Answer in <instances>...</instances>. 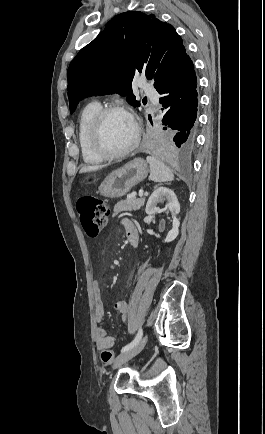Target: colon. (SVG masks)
Segmentation results:
<instances>
[{"instance_id": "5ec220e1", "label": "colon", "mask_w": 265, "mask_h": 434, "mask_svg": "<svg viewBox=\"0 0 265 434\" xmlns=\"http://www.w3.org/2000/svg\"><path fill=\"white\" fill-rule=\"evenodd\" d=\"M95 175V170L93 168ZM75 210L79 216L84 234L91 239L97 238L103 228L107 217L108 207L102 199L94 197H81L74 204ZM100 359L103 363L110 365L114 360L115 350L110 347L100 349Z\"/></svg>"}]
</instances>
